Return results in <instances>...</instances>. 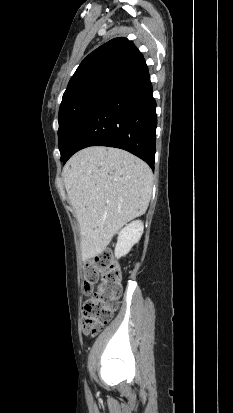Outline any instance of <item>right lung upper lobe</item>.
<instances>
[{"mask_svg": "<svg viewBox=\"0 0 233 413\" xmlns=\"http://www.w3.org/2000/svg\"><path fill=\"white\" fill-rule=\"evenodd\" d=\"M143 59V55L131 41L126 38L112 39L81 62L70 79L64 95L94 79L118 78Z\"/></svg>", "mask_w": 233, "mask_h": 413, "instance_id": "1", "label": "right lung upper lobe"}]
</instances>
